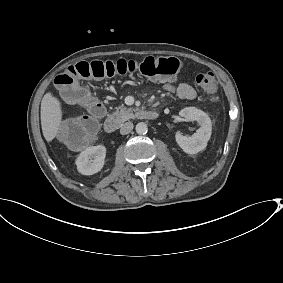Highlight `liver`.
Masks as SVG:
<instances>
[{
  "label": "liver",
  "instance_id": "liver-1",
  "mask_svg": "<svg viewBox=\"0 0 283 283\" xmlns=\"http://www.w3.org/2000/svg\"><path fill=\"white\" fill-rule=\"evenodd\" d=\"M62 111L60 102L51 93H46L41 101V126L46 141H52L59 130Z\"/></svg>",
  "mask_w": 283,
  "mask_h": 283
}]
</instances>
